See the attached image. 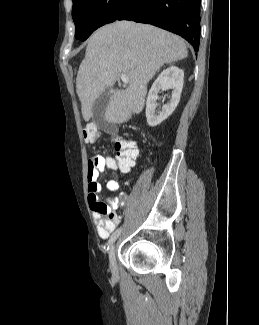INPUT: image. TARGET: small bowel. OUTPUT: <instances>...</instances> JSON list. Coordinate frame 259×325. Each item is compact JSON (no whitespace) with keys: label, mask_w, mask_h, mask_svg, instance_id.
<instances>
[{"label":"small bowel","mask_w":259,"mask_h":325,"mask_svg":"<svg viewBox=\"0 0 259 325\" xmlns=\"http://www.w3.org/2000/svg\"><path fill=\"white\" fill-rule=\"evenodd\" d=\"M134 145L136 146L135 143ZM137 157L138 151L136 156L131 159L95 155L88 161V202L93 210L97 232L101 239H107L120 222V216L116 213V210L124 206L127 196L122 193L116 197L108 198L106 202H101L98 198V193L101 190L98 177L100 173L104 172L106 169L119 170L121 173H128L135 165ZM119 187V178H113L107 182V189L109 191H117ZM106 214L107 217H103Z\"/></svg>","instance_id":"1"}]
</instances>
